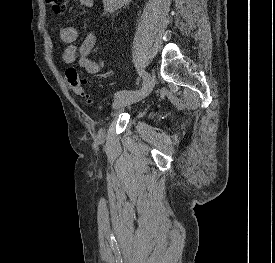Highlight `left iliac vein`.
I'll list each match as a JSON object with an SVG mask.
<instances>
[{
	"instance_id": "1",
	"label": "left iliac vein",
	"mask_w": 275,
	"mask_h": 263,
	"mask_svg": "<svg viewBox=\"0 0 275 263\" xmlns=\"http://www.w3.org/2000/svg\"><path fill=\"white\" fill-rule=\"evenodd\" d=\"M154 85H155V75H154V73H152V75L149 78V81L147 82V84L144 87H142L140 90H138L136 92L128 93V94L118 97L113 102L112 108L114 110H119L121 108H124L128 105H131L135 102L142 100L143 98H145L146 96H148L151 93ZM104 137H105V130L100 129L98 132V136H97L98 142H103Z\"/></svg>"
}]
</instances>
